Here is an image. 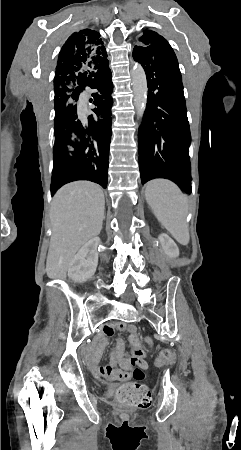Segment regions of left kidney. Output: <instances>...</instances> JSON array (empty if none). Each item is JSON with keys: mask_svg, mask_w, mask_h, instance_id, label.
I'll list each match as a JSON object with an SVG mask.
<instances>
[{"mask_svg": "<svg viewBox=\"0 0 241 450\" xmlns=\"http://www.w3.org/2000/svg\"><path fill=\"white\" fill-rule=\"evenodd\" d=\"M166 256L169 258H178L179 256V248H177L175 242L167 236V234H160L158 238Z\"/></svg>", "mask_w": 241, "mask_h": 450, "instance_id": "5707ae66", "label": "left kidney"}]
</instances>
